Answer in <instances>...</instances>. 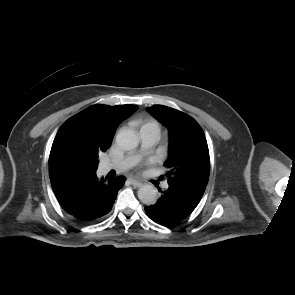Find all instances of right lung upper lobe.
Instances as JSON below:
<instances>
[{"label": "right lung upper lobe", "instance_id": "1", "mask_svg": "<svg viewBox=\"0 0 295 295\" xmlns=\"http://www.w3.org/2000/svg\"><path fill=\"white\" fill-rule=\"evenodd\" d=\"M137 108V105L96 104L69 118L52 144L50 177H72L84 170L94 155L109 148L119 124Z\"/></svg>", "mask_w": 295, "mask_h": 295}]
</instances>
